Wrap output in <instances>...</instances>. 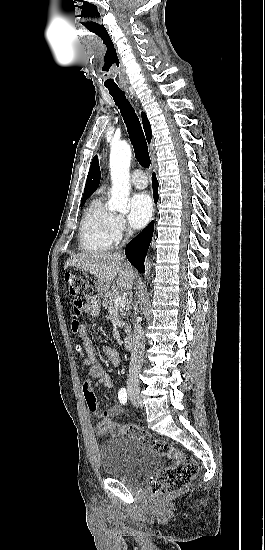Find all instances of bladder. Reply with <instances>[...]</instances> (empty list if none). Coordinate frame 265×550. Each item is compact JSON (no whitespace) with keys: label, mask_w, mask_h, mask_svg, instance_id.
<instances>
[{"label":"bladder","mask_w":265,"mask_h":550,"mask_svg":"<svg viewBox=\"0 0 265 550\" xmlns=\"http://www.w3.org/2000/svg\"><path fill=\"white\" fill-rule=\"evenodd\" d=\"M105 474L126 484L143 482L159 464V455L134 437L117 436L99 448Z\"/></svg>","instance_id":"bladder-1"}]
</instances>
